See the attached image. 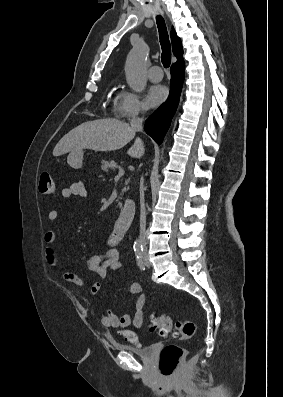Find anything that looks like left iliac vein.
<instances>
[{
    "instance_id": "left-iliac-vein-1",
    "label": "left iliac vein",
    "mask_w": 283,
    "mask_h": 397,
    "mask_svg": "<svg viewBox=\"0 0 283 397\" xmlns=\"http://www.w3.org/2000/svg\"><path fill=\"white\" fill-rule=\"evenodd\" d=\"M143 261H144V264L146 267H150L151 264H150L147 254H144Z\"/></svg>"
}]
</instances>
